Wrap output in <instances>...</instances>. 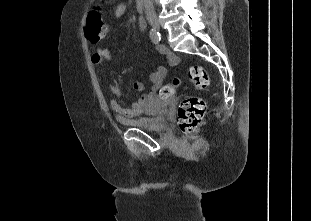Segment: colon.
Listing matches in <instances>:
<instances>
[{"instance_id":"1","label":"colon","mask_w":311,"mask_h":221,"mask_svg":"<svg viewBox=\"0 0 311 221\" xmlns=\"http://www.w3.org/2000/svg\"><path fill=\"white\" fill-rule=\"evenodd\" d=\"M104 16L101 7H92L88 12V23L86 31L88 38L92 43H97L103 37V31L106 28L100 18ZM102 31V34H101ZM189 85L196 89H204L209 85V75L205 68L190 67L188 70ZM166 88H157V99H170L176 84L166 85ZM207 107L203 99L197 97H186L179 103L176 123L180 131L184 134L195 131L204 122Z\"/></svg>"}]
</instances>
